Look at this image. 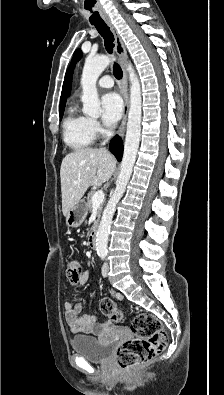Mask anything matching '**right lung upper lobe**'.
<instances>
[{"label": "right lung upper lobe", "instance_id": "right-lung-upper-lobe-1", "mask_svg": "<svg viewBox=\"0 0 224 395\" xmlns=\"http://www.w3.org/2000/svg\"><path fill=\"white\" fill-rule=\"evenodd\" d=\"M65 103H66V97H65V81H64L62 95L60 99V110H63L65 108Z\"/></svg>", "mask_w": 224, "mask_h": 395}]
</instances>
